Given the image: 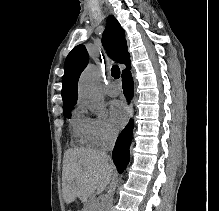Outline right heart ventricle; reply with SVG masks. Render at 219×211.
<instances>
[{
  "label": "right heart ventricle",
  "instance_id": "1",
  "mask_svg": "<svg viewBox=\"0 0 219 211\" xmlns=\"http://www.w3.org/2000/svg\"><path fill=\"white\" fill-rule=\"evenodd\" d=\"M73 129H74L76 136L79 137L81 141L90 140L87 135V131H86L85 118L81 116H77L73 120Z\"/></svg>",
  "mask_w": 219,
  "mask_h": 211
}]
</instances>
